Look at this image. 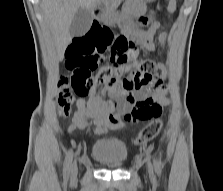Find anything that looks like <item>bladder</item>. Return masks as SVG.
Listing matches in <instances>:
<instances>
[{
	"label": "bladder",
	"mask_w": 223,
	"mask_h": 191,
	"mask_svg": "<svg viewBox=\"0 0 223 191\" xmlns=\"http://www.w3.org/2000/svg\"><path fill=\"white\" fill-rule=\"evenodd\" d=\"M92 156L104 166L119 167L127 160L128 148L121 139H98L92 146Z\"/></svg>",
	"instance_id": "1"
}]
</instances>
